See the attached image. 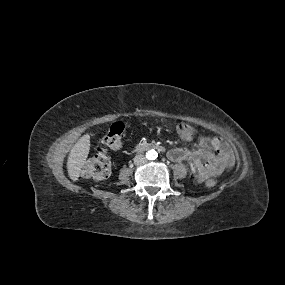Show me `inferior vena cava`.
Instances as JSON below:
<instances>
[{"label":"inferior vena cava","instance_id":"obj_1","mask_svg":"<svg viewBox=\"0 0 285 285\" xmlns=\"http://www.w3.org/2000/svg\"><path fill=\"white\" fill-rule=\"evenodd\" d=\"M146 162V157L144 155H136L134 157V164L135 165H142Z\"/></svg>","mask_w":285,"mask_h":285}]
</instances>
